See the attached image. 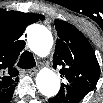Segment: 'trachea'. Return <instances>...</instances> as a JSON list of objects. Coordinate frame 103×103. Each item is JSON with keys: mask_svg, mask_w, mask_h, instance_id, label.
I'll return each instance as SVG.
<instances>
[{"mask_svg": "<svg viewBox=\"0 0 103 103\" xmlns=\"http://www.w3.org/2000/svg\"><path fill=\"white\" fill-rule=\"evenodd\" d=\"M36 65L35 59L33 57V54L25 51L20 56V60L18 62V66L23 69H30Z\"/></svg>", "mask_w": 103, "mask_h": 103, "instance_id": "3493384b", "label": "trachea"}]
</instances>
